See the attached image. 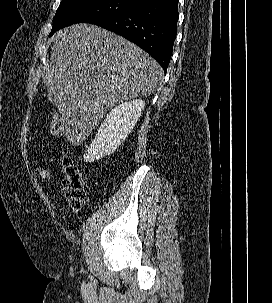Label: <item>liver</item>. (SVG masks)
<instances>
[{"label":"liver","mask_w":272,"mask_h":303,"mask_svg":"<svg viewBox=\"0 0 272 303\" xmlns=\"http://www.w3.org/2000/svg\"><path fill=\"white\" fill-rule=\"evenodd\" d=\"M163 75L161 66L137 45L81 23L54 34L42 81L61 115L64 136L78 146L108 110L154 92Z\"/></svg>","instance_id":"obj_1"}]
</instances>
